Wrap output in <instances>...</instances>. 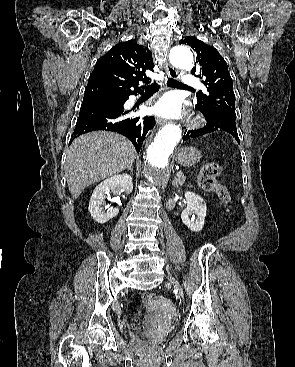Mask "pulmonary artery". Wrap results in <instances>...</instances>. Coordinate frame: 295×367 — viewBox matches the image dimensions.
Instances as JSON below:
<instances>
[{"label": "pulmonary artery", "instance_id": "1", "mask_svg": "<svg viewBox=\"0 0 295 367\" xmlns=\"http://www.w3.org/2000/svg\"><path fill=\"white\" fill-rule=\"evenodd\" d=\"M183 83L184 85L190 88H202L203 87L200 80L191 74H187L183 77Z\"/></svg>", "mask_w": 295, "mask_h": 367}]
</instances>
